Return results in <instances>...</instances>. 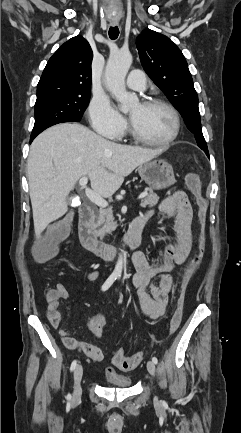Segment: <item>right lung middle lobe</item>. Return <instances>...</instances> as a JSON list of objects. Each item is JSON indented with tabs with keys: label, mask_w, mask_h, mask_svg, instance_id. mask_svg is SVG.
<instances>
[{
	"label": "right lung middle lobe",
	"mask_w": 241,
	"mask_h": 433,
	"mask_svg": "<svg viewBox=\"0 0 241 433\" xmlns=\"http://www.w3.org/2000/svg\"><path fill=\"white\" fill-rule=\"evenodd\" d=\"M86 96H47L35 103V124L31 136L63 122H79L89 102Z\"/></svg>",
	"instance_id": "right-lung-middle-lobe-1"
}]
</instances>
